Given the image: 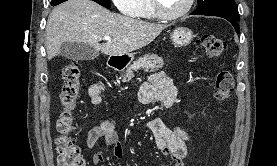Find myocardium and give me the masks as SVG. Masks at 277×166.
I'll list each match as a JSON object with an SVG mask.
<instances>
[{
    "label": "myocardium",
    "mask_w": 277,
    "mask_h": 166,
    "mask_svg": "<svg viewBox=\"0 0 277 166\" xmlns=\"http://www.w3.org/2000/svg\"><path fill=\"white\" fill-rule=\"evenodd\" d=\"M151 4L156 16L165 21H174L185 16L192 8L194 0H187L185 6L178 12L169 14L163 9L160 0H151Z\"/></svg>",
    "instance_id": "obj_1"
}]
</instances>
